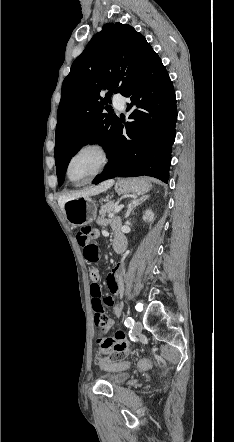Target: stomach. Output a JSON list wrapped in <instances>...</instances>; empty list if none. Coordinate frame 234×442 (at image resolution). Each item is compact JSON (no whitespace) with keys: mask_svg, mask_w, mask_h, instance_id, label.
<instances>
[{"mask_svg":"<svg viewBox=\"0 0 234 442\" xmlns=\"http://www.w3.org/2000/svg\"><path fill=\"white\" fill-rule=\"evenodd\" d=\"M152 187L146 178L119 179L115 183L118 194L137 193L144 194ZM66 219L74 226L90 224L95 218L97 207L91 198H76L66 202L63 206Z\"/></svg>","mask_w":234,"mask_h":442,"instance_id":"stomach-1","label":"stomach"}]
</instances>
